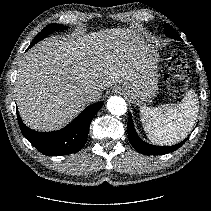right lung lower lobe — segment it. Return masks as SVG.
Here are the masks:
<instances>
[{"label": "right lung lower lobe", "mask_w": 211, "mask_h": 211, "mask_svg": "<svg viewBox=\"0 0 211 211\" xmlns=\"http://www.w3.org/2000/svg\"><path fill=\"white\" fill-rule=\"evenodd\" d=\"M102 102L88 106L65 128L53 132H38L28 128L17 113L18 123L24 137L46 156L67 155L80 151L88 136L89 126Z\"/></svg>", "instance_id": "1"}]
</instances>
